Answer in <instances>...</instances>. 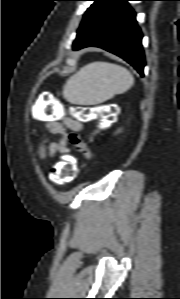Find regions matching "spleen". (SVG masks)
<instances>
[{
    "label": "spleen",
    "mask_w": 180,
    "mask_h": 299,
    "mask_svg": "<svg viewBox=\"0 0 180 299\" xmlns=\"http://www.w3.org/2000/svg\"><path fill=\"white\" fill-rule=\"evenodd\" d=\"M133 83V75L125 67L97 61L67 80L63 96L71 104L95 105L126 92Z\"/></svg>",
    "instance_id": "1"
}]
</instances>
